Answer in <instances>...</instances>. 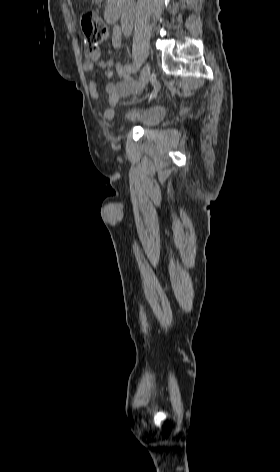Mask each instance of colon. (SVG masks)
Here are the masks:
<instances>
[{
  "instance_id": "1",
  "label": "colon",
  "mask_w": 280,
  "mask_h": 472,
  "mask_svg": "<svg viewBox=\"0 0 280 472\" xmlns=\"http://www.w3.org/2000/svg\"><path fill=\"white\" fill-rule=\"evenodd\" d=\"M80 25L84 34L85 54L92 58L98 54L101 43L108 37V27L90 10L81 13Z\"/></svg>"
}]
</instances>
